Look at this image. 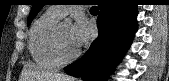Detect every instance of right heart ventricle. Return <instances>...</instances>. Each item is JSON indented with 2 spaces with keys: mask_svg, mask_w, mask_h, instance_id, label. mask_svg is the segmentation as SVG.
<instances>
[{
  "mask_svg": "<svg viewBox=\"0 0 169 81\" xmlns=\"http://www.w3.org/2000/svg\"><path fill=\"white\" fill-rule=\"evenodd\" d=\"M61 17L50 8L31 27L28 47L31 57L41 67L57 68L60 65L53 51V34Z\"/></svg>",
  "mask_w": 169,
  "mask_h": 81,
  "instance_id": "right-heart-ventricle-1",
  "label": "right heart ventricle"
}]
</instances>
